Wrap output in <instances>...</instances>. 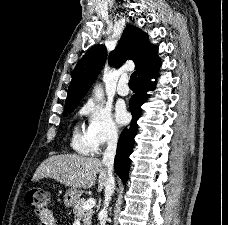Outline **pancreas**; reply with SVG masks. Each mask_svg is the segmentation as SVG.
I'll return each instance as SVG.
<instances>
[{
	"instance_id": "pancreas-1",
	"label": "pancreas",
	"mask_w": 228,
	"mask_h": 225,
	"mask_svg": "<svg viewBox=\"0 0 228 225\" xmlns=\"http://www.w3.org/2000/svg\"><path fill=\"white\" fill-rule=\"evenodd\" d=\"M84 203L85 199H78V201H75L73 215H75V217H80V219L83 221V225H91L93 211L92 209H89V211H85V213H83L82 207H84Z\"/></svg>"
}]
</instances>
